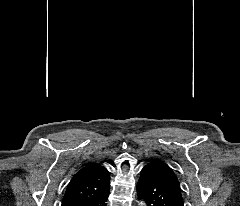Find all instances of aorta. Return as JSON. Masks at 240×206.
<instances>
[{"label": "aorta", "instance_id": "762f6f07", "mask_svg": "<svg viewBox=\"0 0 240 206\" xmlns=\"http://www.w3.org/2000/svg\"><path fill=\"white\" fill-rule=\"evenodd\" d=\"M142 206H144L145 204L143 202L140 203Z\"/></svg>", "mask_w": 240, "mask_h": 206}]
</instances>
